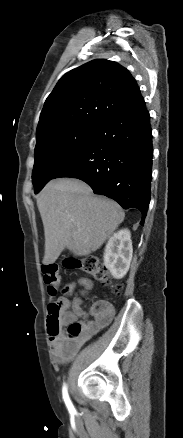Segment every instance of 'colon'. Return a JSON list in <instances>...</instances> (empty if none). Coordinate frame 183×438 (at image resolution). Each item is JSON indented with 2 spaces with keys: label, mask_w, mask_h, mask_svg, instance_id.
Returning a JSON list of instances; mask_svg holds the SVG:
<instances>
[{
  "label": "colon",
  "mask_w": 183,
  "mask_h": 438,
  "mask_svg": "<svg viewBox=\"0 0 183 438\" xmlns=\"http://www.w3.org/2000/svg\"><path fill=\"white\" fill-rule=\"evenodd\" d=\"M63 266L67 269H79L104 285L118 290L119 286L114 284L106 266L95 256H68L63 261ZM44 282L50 296H55L60 283L59 268L57 264H47L43 266ZM71 304L66 296H61L57 300L48 302L47 328L48 333L56 335L61 329L64 314L70 310ZM83 332V325L77 320L67 324L66 335L68 338H77Z\"/></svg>",
  "instance_id": "5ec220e1"
}]
</instances>
